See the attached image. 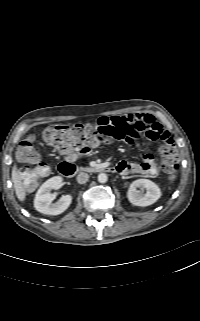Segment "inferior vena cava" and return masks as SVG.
I'll use <instances>...</instances> for the list:
<instances>
[{
  "mask_svg": "<svg viewBox=\"0 0 200 321\" xmlns=\"http://www.w3.org/2000/svg\"><path fill=\"white\" fill-rule=\"evenodd\" d=\"M76 179L79 184H84L88 181L89 175L87 173L82 172L77 175Z\"/></svg>",
  "mask_w": 200,
  "mask_h": 321,
  "instance_id": "1",
  "label": "inferior vena cava"
}]
</instances>
